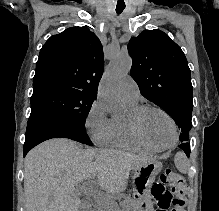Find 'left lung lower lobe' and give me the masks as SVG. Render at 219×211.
<instances>
[{"label":"left lung lower lobe","mask_w":219,"mask_h":211,"mask_svg":"<svg viewBox=\"0 0 219 211\" xmlns=\"http://www.w3.org/2000/svg\"><path fill=\"white\" fill-rule=\"evenodd\" d=\"M179 147L184 150V152L186 153V155L189 157L190 155V144L188 142H185L181 145H179Z\"/></svg>","instance_id":"left-lung-lower-lobe-1"}]
</instances>
